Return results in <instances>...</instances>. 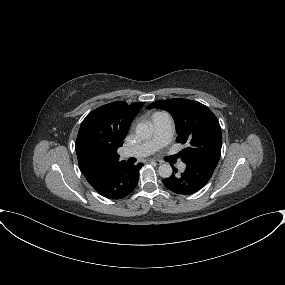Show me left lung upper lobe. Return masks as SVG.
I'll return each mask as SVG.
<instances>
[{"label": "left lung upper lobe", "mask_w": 285, "mask_h": 285, "mask_svg": "<svg viewBox=\"0 0 285 285\" xmlns=\"http://www.w3.org/2000/svg\"><path fill=\"white\" fill-rule=\"evenodd\" d=\"M147 108L164 109L173 116L178 134L176 142L187 144V148L180 152L184 163L198 159H220L221 127L207 106L177 98L153 102Z\"/></svg>", "instance_id": "5c2ea615"}]
</instances>
